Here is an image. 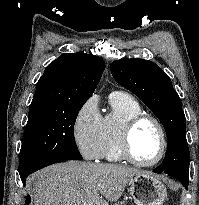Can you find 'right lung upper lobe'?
I'll return each instance as SVG.
<instances>
[{"label":"right lung upper lobe","mask_w":199,"mask_h":205,"mask_svg":"<svg viewBox=\"0 0 199 205\" xmlns=\"http://www.w3.org/2000/svg\"><path fill=\"white\" fill-rule=\"evenodd\" d=\"M105 69L104 61L95 55L65 53L50 63L39 79L30 111L83 101L90 98Z\"/></svg>","instance_id":"right-lung-upper-lobe-1"}]
</instances>
